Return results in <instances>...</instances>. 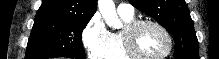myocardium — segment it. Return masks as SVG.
Listing matches in <instances>:
<instances>
[{
	"label": "myocardium",
	"instance_id": "obj_1",
	"mask_svg": "<svg viewBox=\"0 0 219 59\" xmlns=\"http://www.w3.org/2000/svg\"><path fill=\"white\" fill-rule=\"evenodd\" d=\"M145 25L154 26L155 28L160 30L166 37L168 47L164 54L157 57H146L141 55L137 50L135 43L136 34L139 31V29ZM122 38L124 49L132 59H166L171 55L173 50V38L168 29L161 23L151 19H139L125 25L124 29L122 30Z\"/></svg>",
	"mask_w": 219,
	"mask_h": 59
}]
</instances>
